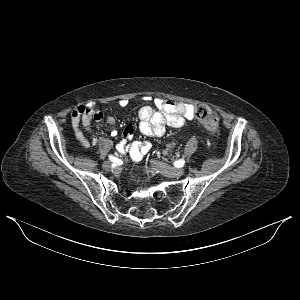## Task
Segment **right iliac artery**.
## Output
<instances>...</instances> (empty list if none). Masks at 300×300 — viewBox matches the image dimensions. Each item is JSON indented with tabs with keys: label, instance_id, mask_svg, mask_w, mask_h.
I'll return each mask as SVG.
<instances>
[{
	"label": "right iliac artery",
	"instance_id": "1",
	"mask_svg": "<svg viewBox=\"0 0 300 300\" xmlns=\"http://www.w3.org/2000/svg\"><path fill=\"white\" fill-rule=\"evenodd\" d=\"M108 157H109V160H110L111 162H113V164H114L115 166L121 165V164L123 163V161H122L121 159L116 158V157H114L113 155H109Z\"/></svg>",
	"mask_w": 300,
	"mask_h": 300
}]
</instances>
